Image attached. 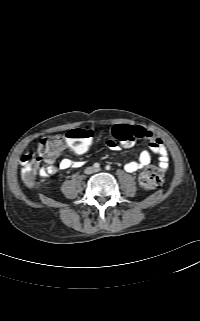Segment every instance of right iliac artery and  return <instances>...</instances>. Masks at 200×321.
I'll return each mask as SVG.
<instances>
[{
  "label": "right iliac artery",
  "mask_w": 200,
  "mask_h": 321,
  "mask_svg": "<svg viewBox=\"0 0 200 321\" xmlns=\"http://www.w3.org/2000/svg\"><path fill=\"white\" fill-rule=\"evenodd\" d=\"M93 166H94L95 168H99V167H100V164H99V163H95Z\"/></svg>",
  "instance_id": "obj_1"
}]
</instances>
